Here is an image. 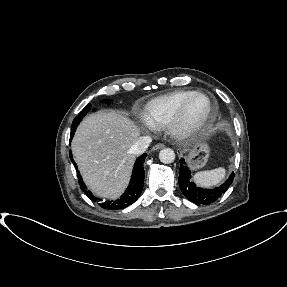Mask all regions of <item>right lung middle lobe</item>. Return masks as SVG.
Masks as SVG:
<instances>
[{"label":"right lung middle lobe","instance_id":"obj_1","mask_svg":"<svg viewBox=\"0 0 287 287\" xmlns=\"http://www.w3.org/2000/svg\"><path fill=\"white\" fill-rule=\"evenodd\" d=\"M91 109V104H87L84 109L75 117V119L72 122V126H71V132H74L78 126V124L80 123V121L84 118V116H86L88 114V112Z\"/></svg>","mask_w":287,"mask_h":287}]
</instances>
